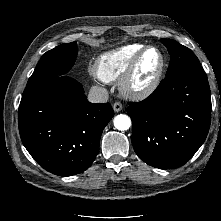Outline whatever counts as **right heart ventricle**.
<instances>
[{
  "label": "right heart ventricle",
  "mask_w": 221,
  "mask_h": 221,
  "mask_svg": "<svg viewBox=\"0 0 221 221\" xmlns=\"http://www.w3.org/2000/svg\"><path fill=\"white\" fill-rule=\"evenodd\" d=\"M143 47L142 44H130L100 55L94 65L95 76L104 82L116 81Z\"/></svg>",
  "instance_id": "obj_1"
}]
</instances>
